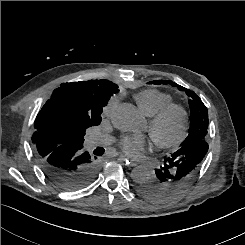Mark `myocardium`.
Segmentation results:
<instances>
[{
    "instance_id": "1",
    "label": "myocardium",
    "mask_w": 245,
    "mask_h": 245,
    "mask_svg": "<svg viewBox=\"0 0 245 245\" xmlns=\"http://www.w3.org/2000/svg\"><path fill=\"white\" fill-rule=\"evenodd\" d=\"M173 113H178L181 118V128L177 137L172 140H160L156 137L155 132L157 128ZM190 127V114L188 109L179 103H171L160 110L157 114L151 117L149 120L148 132L159 148L170 149L175 148L182 144L188 136Z\"/></svg>"
}]
</instances>
